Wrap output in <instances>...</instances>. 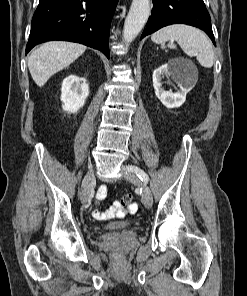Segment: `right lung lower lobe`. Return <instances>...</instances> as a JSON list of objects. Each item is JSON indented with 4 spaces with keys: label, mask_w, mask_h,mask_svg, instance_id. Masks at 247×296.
Instances as JSON below:
<instances>
[{
    "label": "right lung lower lobe",
    "mask_w": 247,
    "mask_h": 296,
    "mask_svg": "<svg viewBox=\"0 0 247 296\" xmlns=\"http://www.w3.org/2000/svg\"><path fill=\"white\" fill-rule=\"evenodd\" d=\"M118 0H40L26 54L37 44L65 40L100 50L109 58V32Z\"/></svg>",
    "instance_id": "obj_1"
}]
</instances>
